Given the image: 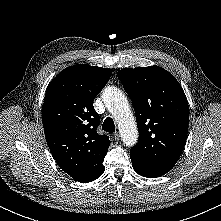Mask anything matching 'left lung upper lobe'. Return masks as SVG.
Segmentation results:
<instances>
[{"mask_svg":"<svg viewBox=\"0 0 221 221\" xmlns=\"http://www.w3.org/2000/svg\"><path fill=\"white\" fill-rule=\"evenodd\" d=\"M117 76L131 98L139 129L130 157L173 167L188 132L189 107L180 84L159 66L123 69Z\"/></svg>","mask_w":221,"mask_h":221,"instance_id":"5c2ea615","label":"left lung upper lobe"}]
</instances>
